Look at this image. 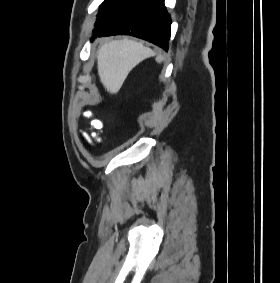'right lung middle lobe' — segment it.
<instances>
[{
	"label": "right lung middle lobe",
	"mask_w": 280,
	"mask_h": 283,
	"mask_svg": "<svg viewBox=\"0 0 280 283\" xmlns=\"http://www.w3.org/2000/svg\"><path fill=\"white\" fill-rule=\"evenodd\" d=\"M140 0H105L101 5L97 21L95 23V29L98 30L104 23L110 18L118 14L119 12L135 5Z\"/></svg>",
	"instance_id": "dd1d6c3e"
}]
</instances>
